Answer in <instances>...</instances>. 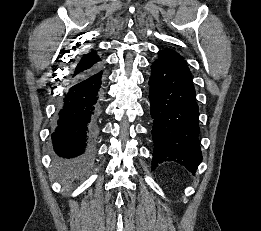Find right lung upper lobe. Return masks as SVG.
<instances>
[{"instance_id":"obj_1","label":"right lung upper lobe","mask_w":261,"mask_h":231,"mask_svg":"<svg viewBox=\"0 0 261 231\" xmlns=\"http://www.w3.org/2000/svg\"><path fill=\"white\" fill-rule=\"evenodd\" d=\"M101 64V58L96 54V51L91 50L84 54L70 75L71 79L87 74Z\"/></svg>"}]
</instances>
